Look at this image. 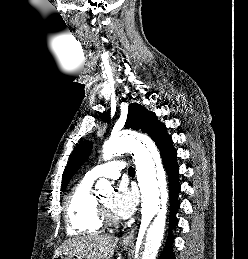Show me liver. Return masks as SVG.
Here are the masks:
<instances>
[{
	"label": "liver",
	"mask_w": 248,
	"mask_h": 259,
	"mask_svg": "<svg viewBox=\"0 0 248 259\" xmlns=\"http://www.w3.org/2000/svg\"><path fill=\"white\" fill-rule=\"evenodd\" d=\"M118 241L116 236L98 234L71 238L55 250L54 257L63 253L76 255L79 259H109Z\"/></svg>",
	"instance_id": "liver-1"
}]
</instances>
